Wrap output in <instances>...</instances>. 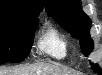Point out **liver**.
I'll list each match as a JSON object with an SVG mask.
<instances>
[{
	"label": "liver",
	"mask_w": 102,
	"mask_h": 75,
	"mask_svg": "<svg viewBox=\"0 0 102 75\" xmlns=\"http://www.w3.org/2000/svg\"><path fill=\"white\" fill-rule=\"evenodd\" d=\"M0 75H75L62 68L46 64L36 63L25 67L4 68L0 70Z\"/></svg>",
	"instance_id": "liver-1"
}]
</instances>
